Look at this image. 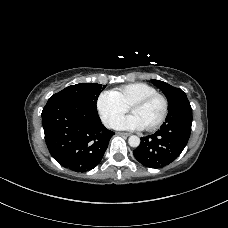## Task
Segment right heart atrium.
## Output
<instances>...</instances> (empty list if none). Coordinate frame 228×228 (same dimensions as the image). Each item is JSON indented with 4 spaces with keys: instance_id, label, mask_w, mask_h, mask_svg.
<instances>
[{
    "instance_id": "obj_1",
    "label": "right heart atrium",
    "mask_w": 228,
    "mask_h": 228,
    "mask_svg": "<svg viewBox=\"0 0 228 228\" xmlns=\"http://www.w3.org/2000/svg\"><path fill=\"white\" fill-rule=\"evenodd\" d=\"M96 107L107 127H113L115 122L128 111V107L121 103L113 91L101 92L97 98Z\"/></svg>"
}]
</instances>
